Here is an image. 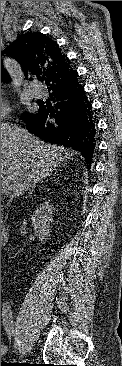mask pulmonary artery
<instances>
[{"instance_id": "pulmonary-artery-1", "label": "pulmonary artery", "mask_w": 122, "mask_h": 366, "mask_svg": "<svg viewBox=\"0 0 122 366\" xmlns=\"http://www.w3.org/2000/svg\"><path fill=\"white\" fill-rule=\"evenodd\" d=\"M30 92L35 97H41L43 95V91L39 87H33L30 89Z\"/></svg>"}]
</instances>
